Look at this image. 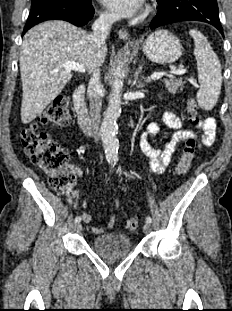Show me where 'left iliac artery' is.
<instances>
[{"label":"left iliac artery","mask_w":232,"mask_h":311,"mask_svg":"<svg viewBox=\"0 0 232 311\" xmlns=\"http://www.w3.org/2000/svg\"><path fill=\"white\" fill-rule=\"evenodd\" d=\"M146 222H147V223H151V222H152V219H151L150 216H148V217L146 218Z\"/></svg>","instance_id":"1"}]
</instances>
